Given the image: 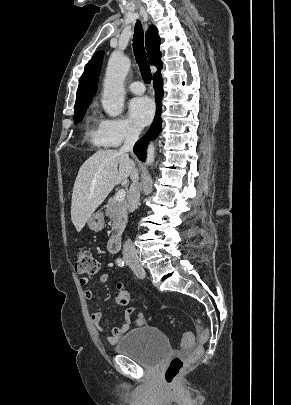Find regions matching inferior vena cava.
Listing matches in <instances>:
<instances>
[{"mask_svg":"<svg viewBox=\"0 0 291 405\" xmlns=\"http://www.w3.org/2000/svg\"><path fill=\"white\" fill-rule=\"evenodd\" d=\"M140 135V131L135 128H130L127 132L125 142L120 149L121 153H127L133 151V146L138 140ZM131 181L132 184L130 186V190L127 196V208L130 212H133L140 198V188H139V175L138 171L133 165L131 170ZM123 258L126 262H138V254L137 250L135 249L134 245L132 244L131 240H127L123 247Z\"/></svg>","mask_w":291,"mask_h":405,"instance_id":"1","label":"inferior vena cava"}]
</instances>
